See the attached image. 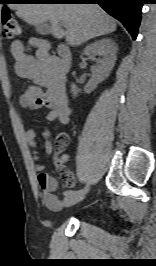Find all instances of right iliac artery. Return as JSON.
<instances>
[{"label":"right iliac artery","mask_w":156,"mask_h":266,"mask_svg":"<svg viewBox=\"0 0 156 266\" xmlns=\"http://www.w3.org/2000/svg\"><path fill=\"white\" fill-rule=\"evenodd\" d=\"M89 188H90V185H84V188H82V190H77V191L68 190V191L64 192V195H65V197L81 195L84 192H86L87 189H89Z\"/></svg>","instance_id":"82829eb1"}]
</instances>
